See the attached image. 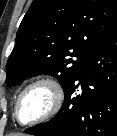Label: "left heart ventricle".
<instances>
[{"mask_svg":"<svg viewBox=\"0 0 117 136\" xmlns=\"http://www.w3.org/2000/svg\"><path fill=\"white\" fill-rule=\"evenodd\" d=\"M52 104V94L46 87L31 89L22 99L19 115L22 121L33 120L48 111Z\"/></svg>","mask_w":117,"mask_h":136,"instance_id":"b2bd125f","label":"left heart ventricle"}]
</instances>
